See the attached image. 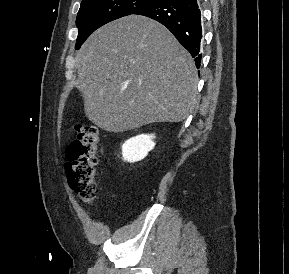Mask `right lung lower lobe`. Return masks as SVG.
Here are the masks:
<instances>
[{"label": "right lung lower lobe", "instance_id": "right-lung-lower-lobe-1", "mask_svg": "<svg viewBox=\"0 0 289 274\" xmlns=\"http://www.w3.org/2000/svg\"><path fill=\"white\" fill-rule=\"evenodd\" d=\"M134 14L152 18L166 26L190 52L197 68L201 64V12L198 0H158Z\"/></svg>", "mask_w": 289, "mask_h": 274}]
</instances>
